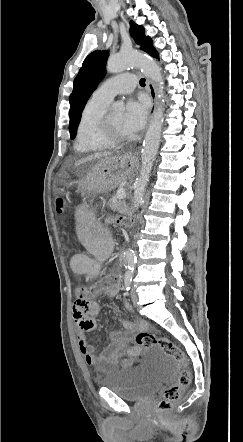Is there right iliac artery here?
Returning <instances> with one entry per match:
<instances>
[{"label": "right iliac artery", "mask_w": 243, "mask_h": 442, "mask_svg": "<svg viewBox=\"0 0 243 442\" xmlns=\"http://www.w3.org/2000/svg\"><path fill=\"white\" fill-rule=\"evenodd\" d=\"M132 276H133L132 272H127L126 275H125V289L127 291L130 290Z\"/></svg>", "instance_id": "obj_1"}]
</instances>
